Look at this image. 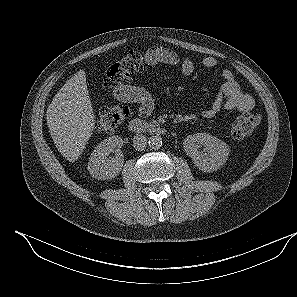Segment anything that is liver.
<instances>
[{"instance_id":"liver-1","label":"liver","mask_w":297,"mask_h":297,"mask_svg":"<svg viewBox=\"0 0 297 297\" xmlns=\"http://www.w3.org/2000/svg\"><path fill=\"white\" fill-rule=\"evenodd\" d=\"M46 119L58 151L68 161H76L84 151L95 125L84 70L78 71L54 96Z\"/></svg>"}]
</instances>
